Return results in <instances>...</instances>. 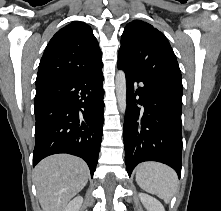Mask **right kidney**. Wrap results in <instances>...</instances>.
Masks as SVG:
<instances>
[{
    "mask_svg": "<svg viewBox=\"0 0 221 211\" xmlns=\"http://www.w3.org/2000/svg\"><path fill=\"white\" fill-rule=\"evenodd\" d=\"M83 203V197H75L69 204L65 207L64 211H80V208Z\"/></svg>",
    "mask_w": 221,
    "mask_h": 211,
    "instance_id": "right-kidney-1",
    "label": "right kidney"
}]
</instances>
